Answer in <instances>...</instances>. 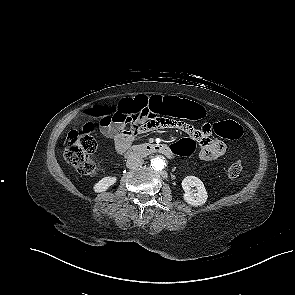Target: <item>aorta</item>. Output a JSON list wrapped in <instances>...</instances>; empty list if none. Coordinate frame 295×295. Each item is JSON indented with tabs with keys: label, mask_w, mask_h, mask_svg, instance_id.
Returning a JSON list of instances; mask_svg holds the SVG:
<instances>
[{
	"label": "aorta",
	"mask_w": 295,
	"mask_h": 295,
	"mask_svg": "<svg viewBox=\"0 0 295 295\" xmlns=\"http://www.w3.org/2000/svg\"><path fill=\"white\" fill-rule=\"evenodd\" d=\"M151 166L155 170H162L165 167V161L160 156H155L151 159Z\"/></svg>",
	"instance_id": "1"
}]
</instances>
